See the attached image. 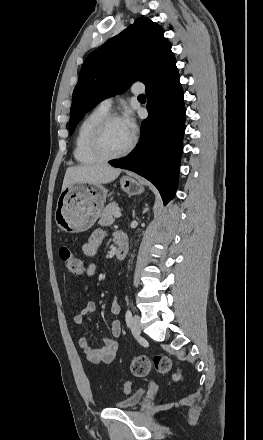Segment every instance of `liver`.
<instances>
[{
  "instance_id": "obj_1",
  "label": "liver",
  "mask_w": 263,
  "mask_h": 440,
  "mask_svg": "<svg viewBox=\"0 0 263 440\" xmlns=\"http://www.w3.org/2000/svg\"><path fill=\"white\" fill-rule=\"evenodd\" d=\"M120 173L121 169L104 163L69 167L64 176L62 189L72 183H83L95 186L108 184L114 181Z\"/></svg>"
}]
</instances>
